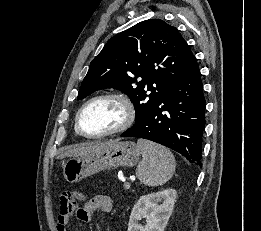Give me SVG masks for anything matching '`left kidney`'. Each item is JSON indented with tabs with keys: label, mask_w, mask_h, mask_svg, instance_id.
<instances>
[{
	"label": "left kidney",
	"mask_w": 261,
	"mask_h": 231,
	"mask_svg": "<svg viewBox=\"0 0 261 231\" xmlns=\"http://www.w3.org/2000/svg\"><path fill=\"white\" fill-rule=\"evenodd\" d=\"M176 196V190L166 189L140 197L131 211L127 231H164ZM142 218L146 219L145 226L139 224Z\"/></svg>",
	"instance_id": "1"
}]
</instances>
